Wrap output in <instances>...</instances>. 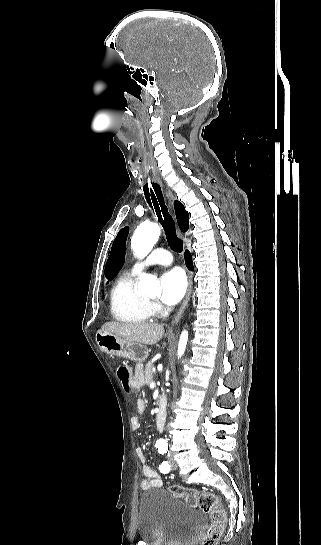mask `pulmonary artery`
<instances>
[{
    "label": "pulmonary artery",
    "mask_w": 321,
    "mask_h": 545,
    "mask_svg": "<svg viewBox=\"0 0 321 545\" xmlns=\"http://www.w3.org/2000/svg\"><path fill=\"white\" fill-rule=\"evenodd\" d=\"M170 257H171L170 252L165 249H162V248L153 249L150 251V254L147 255L144 260L138 261L135 264H133L130 271L132 273H139L146 266L153 265V264L169 265L173 261V259Z\"/></svg>",
    "instance_id": "pulmonary-artery-1"
}]
</instances>
